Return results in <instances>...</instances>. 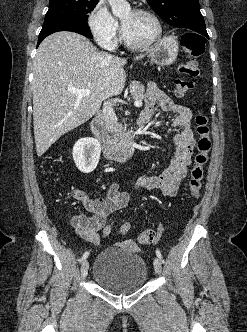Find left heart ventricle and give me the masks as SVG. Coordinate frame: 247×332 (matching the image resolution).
Listing matches in <instances>:
<instances>
[{
  "mask_svg": "<svg viewBox=\"0 0 247 332\" xmlns=\"http://www.w3.org/2000/svg\"><path fill=\"white\" fill-rule=\"evenodd\" d=\"M128 38L134 43H144L156 33L154 20L147 15L128 11L121 17Z\"/></svg>",
  "mask_w": 247,
  "mask_h": 332,
  "instance_id": "b2bd125f",
  "label": "left heart ventricle"
}]
</instances>
